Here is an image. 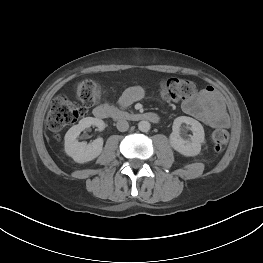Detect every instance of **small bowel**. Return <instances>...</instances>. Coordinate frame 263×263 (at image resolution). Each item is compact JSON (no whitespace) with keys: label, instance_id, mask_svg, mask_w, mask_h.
<instances>
[{"label":"small bowel","instance_id":"obj_1","mask_svg":"<svg viewBox=\"0 0 263 263\" xmlns=\"http://www.w3.org/2000/svg\"><path fill=\"white\" fill-rule=\"evenodd\" d=\"M144 94L142 87H130L122 94L119 103L122 107H129L141 100ZM182 109L186 114L212 128H226L230 124L222 98L212 86L205 87L191 99L184 101Z\"/></svg>","mask_w":263,"mask_h":263}]
</instances>
